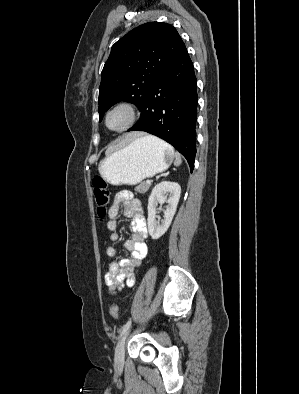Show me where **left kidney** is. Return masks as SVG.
I'll return each mask as SVG.
<instances>
[{
    "mask_svg": "<svg viewBox=\"0 0 299 394\" xmlns=\"http://www.w3.org/2000/svg\"><path fill=\"white\" fill-rule=\"evenodd\" d=\"M181 187L178 183L162 181L152 190L148 199V231L152 239H159L168 230L180 199ZM169 195V198H167ZM167 203L164 211V220L159 224L156 221V207L158 203Z\"/></svg>",
    "mask_w": 299,
    "mask_h": 394,
    "instance_id": "left-kidney-1",
    "label": "left kidney"
}]
</instances>
